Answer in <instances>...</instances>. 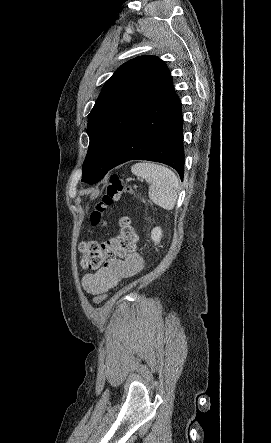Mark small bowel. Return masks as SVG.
I'll use <instances>...</instances> for the list:
<instances>
[{"label": "small bowel", "mask_w": 271, "mask_h": 443, "mask_svg": "<svg viewBox=\"0 0 271 443\" xmlns=\"http://www.w3.org/2000/svg\"><path fill=\"white\" fill-rule=\"evenodd\" d=\"M143 267L141 255L131 251L122 257L108 260L95 273L83 276L81 284L85 291L96 295L109 291L121 281L138 273Z\"/></svg>", "instance_id": "c3829d8e"}]
</instances>
